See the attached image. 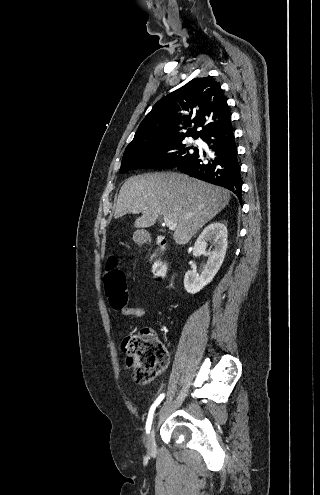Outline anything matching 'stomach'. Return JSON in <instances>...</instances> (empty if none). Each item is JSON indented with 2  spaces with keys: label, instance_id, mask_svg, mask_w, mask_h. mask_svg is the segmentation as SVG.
Segmentation results:
<instances>
[{
  "label": "stomach",
  "instance_id": "obj_1",
  "mask_svg": "<svg viewBox=\"0 0 320 495\" xmlns=\"http://www.w3.org/2000/svg\"><path fill=\"white\" fill-rule=\"evenodd\" d=\"M133 239L136 242H141L143 240V237L140 232H136L133 236Z\"/></svg>",
  "mask_w": 320,
  "mask_h": 495
}]
</instances>
